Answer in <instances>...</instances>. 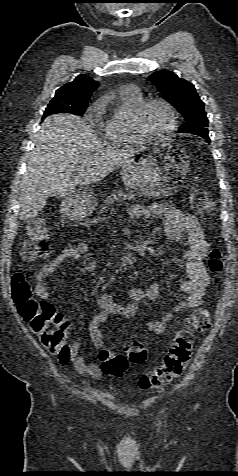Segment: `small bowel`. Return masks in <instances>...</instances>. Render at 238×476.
Listing matches in <instances>:
<instances>
[{"label":"small bowel","instance_id":"obj_1","mask_svg":"<svg viewBox=\"0 0 238 476\" xmlns=\"http://www.w3.org/2000/svg\"><path fill=\"white\" fill-rule=\"evenodd\" d=\"M129 217L135 220L147 217L162 218L164 220L163 231L169 239H177L185 236L187 250L183 254L184 265L188 279L182 283L181 291L185 298L177 303L171 311L162 315L157 321H148L147 329L154 334H162L167 326L173 321L174 316L186 309L197 308L202 304L203 297L211 285L210 275L205 267V258L209 251L203 229L198 220L191 215L180 210L168 207L163 204H153L151 206H135L130 209ZM68 259H74L81 266L92 271L96 268V262L89 255V244L81 241L64 248L59 255L45 263L36 276L35 291L39 298L47 301L49 298L48 279L57 275ZM160 289L157 284H152L147 289L130 288L128 295L131 302L120 303L107 293H103L96 298L100 307V312L93 318L89 326L91 341L98 350L104 348L103 335L100 330L101 325L112 315H122L129 319L137 318L139 303L144 300L157 301ZM81 342L72 343L63 356L57 355L60 363H71L81 374H87L92 378H99L102 367L95 363H88L80 354Z\"/></svg>","mask_w":238,"mask_h":476}]
</instances>
